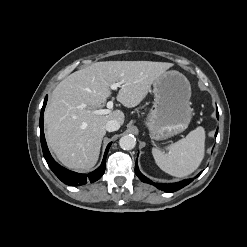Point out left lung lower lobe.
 Instances as JSON below:
<instances>
[{
  "instance_id": "left-lung-lower-lobe-1",
  "label": "left lung lower lobe",
  "mask_w": 247,
  "mask_h": 247,
  "mask_svg": "<svg viewBox=\"0 0 247 247\" xmlns=\"http://www.w3.org/2000/svg\"><path fill=\"white\" fill-rule=\"evenodd\" d=\"M219 116L218 111H217V117ZM218 131L216 132L215 136H217ZM135 173L136 175L140 178L141 181L145 182V183H149L154 185L155 187H157L158 189L165 191V192H174L177 191L181 188H183L185 185L189 184L191 181H193V179H187L181 182H176V183H170V184H159V183H154L152 182L150 179H148L147 177H145L138 168V164L136 161L135 164Z\"/></svg>"
}]
</instances>
